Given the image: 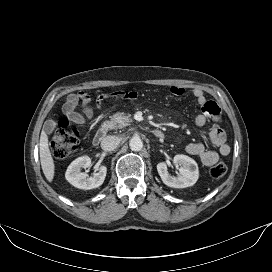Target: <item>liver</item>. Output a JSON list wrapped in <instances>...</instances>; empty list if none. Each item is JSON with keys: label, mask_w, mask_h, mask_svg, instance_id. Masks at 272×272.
<instances>
[{"label": "liver", "mask_w": 272, "mask_h": 272, "mask_svg": "<svg viewBox=\"0 0 272 272\" xmlns=\"http://www.w3.org/2000/svg\"><path fill=\"white\" fill-rule=\"evenodd\" d=\"M39 153L43 173L46 179L49 182H52L55 173V165L49 149L48 137L44 131H42L40 135Z\"/></svg>", "instance_id": "liver-1"}]
</instances>
